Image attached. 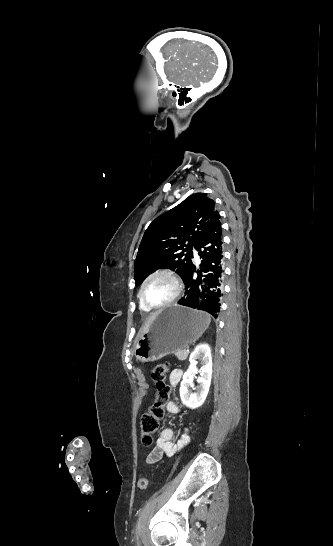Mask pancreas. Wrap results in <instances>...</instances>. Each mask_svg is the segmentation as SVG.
<instances>
[{
  "mask_svg": "<svg viewBox=\"0 0 333 546\" xmlns=\"http://www.w3.org/2000/svg\"><path fill=\"white\" fill-rule=\"evenodd\" d=\"M174 354L180 361L186 360L188 357V353L184 349L177 350L174 352Z\"/></svg>",
  "mask_w": 333,
  "mask_h": 546,
  "instance_id": "pancreas-1",
  "label": "pancreas"
}]
</instances>
